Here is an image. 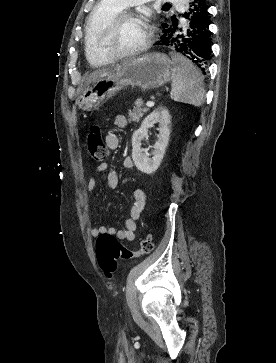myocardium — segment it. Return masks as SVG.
Here are the masks:
<instances>
[{"label":"myocardium","instance_id":"1","mask_svg":"<svg viewBox=\"0 0 276 363\" xmlns=\"http://www.w3.org/2000/svg\"><path fill=\"white\" fill-rule=\"evenodd\" d=\"M143 18V14L133 10H122L119 11L105 26L102 34H101V46L104 53L111 59V60H121L133 56H137L141 53H143L150 45L153 37V33L151 30V27L146 24L147 26V35L143 42L138 45L136 48L129 50V51H123L118 52L113 50V48L110 46V39L115 35L116 31L118 30L119 26L127 19L130 18Z\"/></svg>","mask_w":276,"mask_h":363}]
</instances>
